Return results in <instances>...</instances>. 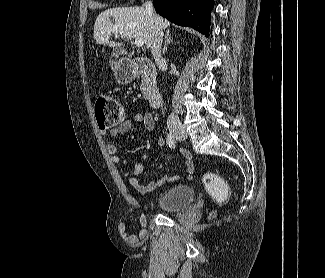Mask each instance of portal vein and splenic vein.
<instances>
[{
  "label": "portal vein and splenic vein",
  "instance_id": "obj_1",
  "mask_svg": "<svg viewBox=\"0 0 325 278\" xmlns=\"http://www.w3.org/2000/svg\"><path fill=\"white\" fill-rule=\"evenodd\" d=\"M135 45L137 47H142L144 45V40L142 38H136L135 39Z\"/></svg>",
  "mask_w": 325,
  "mask_h": 278
}]
</instances>
